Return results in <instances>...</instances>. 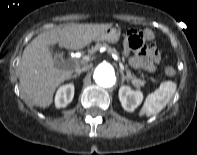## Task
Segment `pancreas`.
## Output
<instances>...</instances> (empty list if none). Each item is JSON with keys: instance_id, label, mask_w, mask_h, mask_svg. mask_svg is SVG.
Wrapping results in <instances>:
<instances>
[{"instance_id": "1", "label": "pancreas", "mask_w": 197, "mask_h": 155, "mask_svg": "<svg viewBox=\"0 0 197 155\" xmlns=\"http://www.w3.org/2000/svg\"><path fill=\"white\" fill-rule=\"evenodd\" d=\"M102 47L108 48V51L110 53L117 54V51L114 48H110L106 44H101V43H97L95 46L91 47V49L89 50V52L98 51ZM125 69H126L127 79L129 81H131V83H132V85L134 87L140 88L141 86H144L145 81L137 78L134 74H132L131 71L128 69V66L127 65L125 66Z\"/></svg>"}]
</instances>
